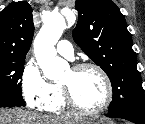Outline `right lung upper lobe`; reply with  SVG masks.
Returning <instances> with one entry per match:
<instances>
[{
	"label": "right lung upper lobe",
	"instance_id": "1",
	"mask_svg": "<svg viewBox=\"0 0 145 124\" xmlns=\"http://www.w3.org/2000/svg\"><path fill=\"white\" fill-rule=\"evenodd\" d=\"M34 34L32 8L12 2L0 13V58H25Z\"/></svg>",
	"mask_w": 145,
	"mask_h": 124
}]
</instances>
